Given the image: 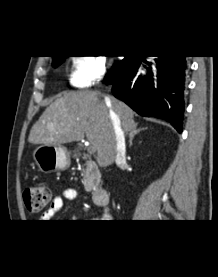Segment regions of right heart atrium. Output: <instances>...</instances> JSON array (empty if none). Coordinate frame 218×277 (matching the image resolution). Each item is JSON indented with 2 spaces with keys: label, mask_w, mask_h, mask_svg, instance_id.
<instances>
[{
  "label": "right heart atrium",
  "mask_w": 218,
  "mask_h": 277,
  "mask_svg": "<svg viewBox=\"0 0 218 277\" xmlns=\"http://www.w3.org/2000/svg\"><path fill=\"white\" fill-rule=\"evenodd\" d=\"M106 72V60L101 55H81L73 59L69 76L71 86L89 88L99 83Z\"/></svg>",
  "instance_id": "obj_1"
}]
</instances>
